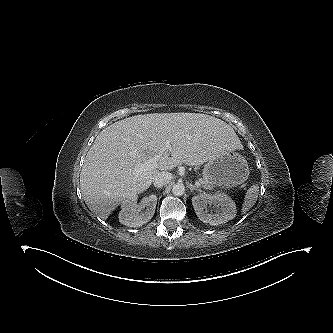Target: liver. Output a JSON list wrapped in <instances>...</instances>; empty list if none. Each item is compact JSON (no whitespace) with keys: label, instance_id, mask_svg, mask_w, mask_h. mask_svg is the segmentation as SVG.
Segmentation results:
<instances>
[{"label":"liver","instance_id":"liver-1","mask_svg":"<svg viewBox=\"0 0 333 333\" xmlns=\"http://www.w3.org/2000/svg\"><path fill=\"white\" fill-rule=\"evenodd\" d=\"M170 142L171 156L151 170L134 172ZM242 149L224 121L199 113L135 115L103 129L89 149L80 173V188L88 208L107 219L123 201L146 191L158 172L186 164L198 166Z\"/></svg>","mask_w":333,"mask_h":333}]
</instances>
